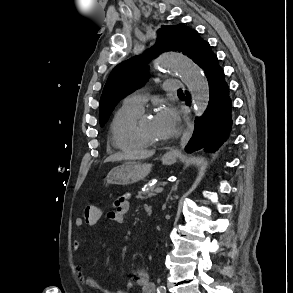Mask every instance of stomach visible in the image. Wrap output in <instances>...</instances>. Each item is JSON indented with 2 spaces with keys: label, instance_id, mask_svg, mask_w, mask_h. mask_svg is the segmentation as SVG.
Returning a JSON list of instances; mask_svg holds the SVG:
<instances>
[{
  "label": "stomach",
  "instance_id": "stomach-1",
  "mask_svg": "<svg viewBox=\"0 0 293 293\" xmlns=\"http://www.w3.org/2000/svg\"><path fill=\"white\" fill-rule=\"evenodd\" d=\"M175 155L165 154L162 162L165 165H172L176 162ZM152 165L141 162H125L112 169L107 177V184L129 185L143 180L151 171Z\"/></svg>",
  "mask_w": 293,
  "mask_h": 293
}]
</instances>
